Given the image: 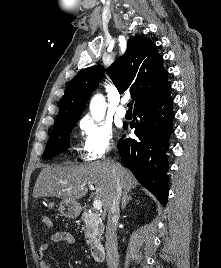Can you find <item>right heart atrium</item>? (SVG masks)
I'll list each match as a JSON object with an SVG mask.
<instances>
[{"label":"right heart atrium","mask_w":221,"mask_h":268,"mask_svg":"<svg viewBox=\"0 0 221 268\" xmlns=\"http://www.w3.org/2000/svg\"><path fill=\"white\" fill-rule=\"evenodd\" d=\"M80 128L84 136L82 156L86 160H99L111 151L113 132L109 125L85 117L80 121Z\"/></svg>","instance_id":"obj_1"}]
</instances>
